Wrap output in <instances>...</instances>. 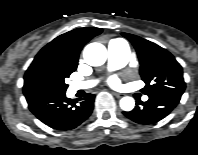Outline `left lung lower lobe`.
I'll list each match as a JSON object with an SVG mask.
<instances>
[{
    "label": "left lung lower lobe",
    "instance_id": "left-lung-lower-lobe-1",
    "mask_svg": "<svg viewBox=\"0 0 198 155\" xmlns=\"http://www.w3.org/2000/svg\"><path fill=\"white\" fill-rule=\"evenodd\" d=\"M181 97L176 95L149 96L148 101L141 102L130 112H123L129 119L140 124H153L166 117L179 103Z\"/></svg>",
    "mask_w": 198,
    "mask_h": 155
}]
</instances>
